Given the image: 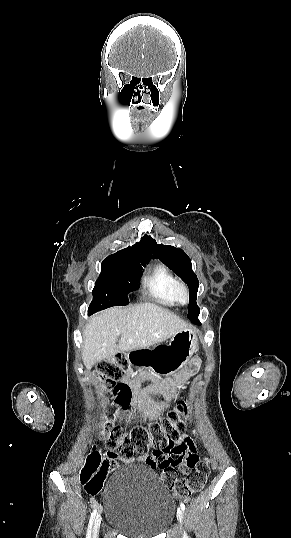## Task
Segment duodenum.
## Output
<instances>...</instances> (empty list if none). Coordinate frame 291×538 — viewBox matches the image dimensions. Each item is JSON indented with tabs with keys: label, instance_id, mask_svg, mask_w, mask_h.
<instances>
[{
	"label": "duodenum",
	"instance_id": "410a0bca",
	"mask_svg": "<svg viewBox=\"0 0 291 538\" xmlns=\"http://www.w3.org/2000/svg\"><path fill=\"white\" fill-rule=\"evenodd\" d=\"M130 355H132V356H140V355H141V352H140L139 350H135V351H132V352L130 353Z\"/></svg>",
	"mask_w": 291,
	"mask_h": 538
}]
</instances>
